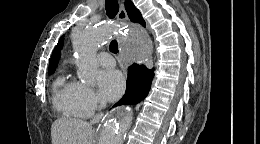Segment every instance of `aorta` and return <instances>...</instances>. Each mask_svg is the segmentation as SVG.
I'll return each mask as SVG.
<instances>
[{"label":"aorta","instance_id":"1","mask_svg":"<svg viewBox=\"0 0 260 144\" xmlns=\"http://www.w3.org/2000/svg\"><path fill=\"white\" fill-rule=\"evenodd\" d=\"M112 30L113 27L110 24L104 23L74 32L73 47L78 54V77L81 82L93 85L98 70L97 48L109 40ZM130 51L133 55L137 53L135 47H131ZM131 121L130 109L115 112L103 122L98 144H123Z\"/></svg>","mask_w":260,"mask_h":144}]
</instances>
